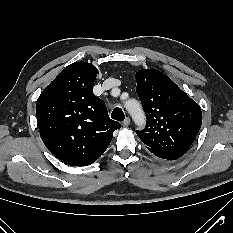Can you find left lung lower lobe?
I'll use <instances>...</instances> for the list:
<instances>
[{
	"mask_svg": "<svg viewBox=\"0 0 233 233\" xmlns=\"http://www.w3.org/2000/svg\"><path fill=\"white\" fill-rule=\"evenodd\" d=\"M147 149L152 152L155 156L159 157V158H162V159H167V160H175L179 157L177 156H174V155H170V154H166V153H162V152H158L156 150H153L151 148H148Z\"/></svg>",
	"mask_w": 233,
	"mask_h": 233,
	"instance_id": "left-lung-lower-lobe-1",
	"label": "left lung lower lobe"
}]
</instances>
